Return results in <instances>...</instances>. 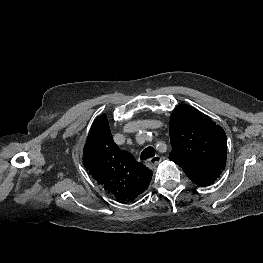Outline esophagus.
<instances>
[{"mask_svg":"<svg viewBox=\"0 0 263 263\" xmlns=\"http://www.w3.org/2000/svg\"><path fill=\"white\" fill-rule=\"evenodd\" d=\"M162 161V157L160 155H155L154 157L146 160L145 164L149 168H154Z\"/></svg>","mask_w":263,"mask_h":263,"instance_id":"obj_1","label":"esophagus"}]
</instances>
